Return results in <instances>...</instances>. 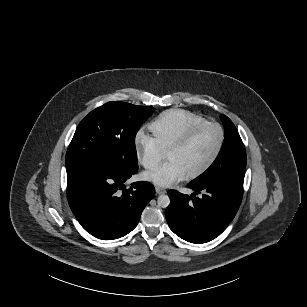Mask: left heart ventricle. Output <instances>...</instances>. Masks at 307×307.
Returning <instances> with one entry per match:
<instances>
[{"label": "left heart ventricle", "instance_id": "obj_1", "mask_svg": "<svg viewBox=\"0 0 307 307\" xmlns=\"http://www.w3.org/2000/svg\"><path fill=\"white\" fill-rule=\"evenodd\" d=\"M221 141V131L218 127L204 129L181 150L168 153L167 161L178 165L186 175L203 167L214 155Z\"/></svg>", "mask_w": 307, "mask_h": 307}]
</instances>
